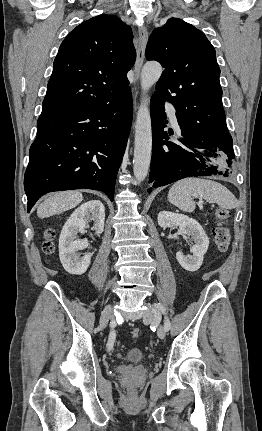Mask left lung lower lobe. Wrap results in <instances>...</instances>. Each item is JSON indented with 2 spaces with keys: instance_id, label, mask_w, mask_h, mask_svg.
<instances>
[{
  "instance_id": "0a47b994",
  "label": "left lung lower lobe",
  "mask_w": 262,
  "mask_h": 431,
  "mask_svg": "<svg viewBox=\"0 0 262 431\" xmlns=\"http://www.w3.org/2000/svg\"><path fill=\"white\" fill-rule=\"evenodd\" d=\"M164 101L156 94L151 98L153 145L149 183L152 186L148 192L186 177L232 174L234 151L230 134L208 139L180 128V137L168 141L172 133L163 130Z\"/></svg>"
}]
</instances>
